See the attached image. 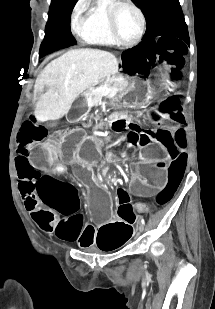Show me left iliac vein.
Returning a JSON list of instances; mask_svg holds the SVG:
<instances>
[{"label": "left iliac vein", "mask_w": 215, "mask_h": 309, "mask_svg": "<svg viewBox=\"0 0 215 309\" xmlns=\"http://www.w3.org/2000/svg\"><path fill=\"white\" fill-rule=\"evenodd\" d=\"M144 228H145L144 224L142 222H139L138 224L139 233H142L144 231Z\"/></svg>", "instance_id": "obj_1"}]
</instances>
